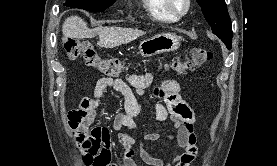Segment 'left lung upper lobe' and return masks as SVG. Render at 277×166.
<instances>
[{
  "instance_id": "1",
  "label": "left lung upper lobe",
  "mask_w": 277,
  "mask_h": 166,
  "mask_svg": "<svg viewBox=\"0 0 277 166\" xmlns=\"http://www.w3.org/2000/svg\"><path fill=\"white\" fill-rule=\"evenodd\" d=\"M202 12L216 34L227 46L231 48L232 28L225 0H197Z\"/></svg>"
}]
</instances>
